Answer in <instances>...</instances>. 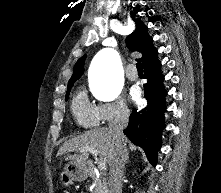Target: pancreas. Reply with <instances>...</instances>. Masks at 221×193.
Here are the masks:
<instances>
[{"instance_id": "1", "label": "pancreas", "mask_w": 221, "mask_h": 193, "mask_svg": "<svg viewBox=\"0 0 221 193\" xmlns=\"http://www.w3.org/2000/svg\"><path fill=\"white\" fill-rule=\"evenodd\" d=\"M94 188L92 193H107V187L104 180L100 177L93 176Z\"/></svg>"}]
</instances>
